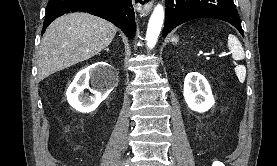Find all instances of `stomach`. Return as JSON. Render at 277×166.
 I'll return each instance as SVG.
<instances>
[{"instance_id": "0dacf381", "label": "stomach", "mask_w": 277, "mask_h": 166, "mask_svg": "<svg viewBox=\"0 0 277 166\" xmlns=\"http://www.w3.org/2000/svg\"><path fill=\"white\" fill-rule=\"evenodd\" d=\"M171 41L173 44H177L179 42V37L174 36V37H172Z\"/></svg>"}]
</instances>
